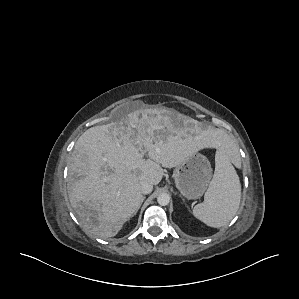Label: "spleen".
Instances as JSON below:
<instances>
[{
    "label": "spleen",
    "mask_w": 299,
    "mask_h": 299,
    "mask_svg": "<svg viewBox=\"0 0 299 299\" xmlns=\"http://www.w3.org/2000/svg\"><path fill=\"white\" fill-rule=\"evenodd\" d=\"M241 199V184L225 147H218L215 171L204 201L193 209V215L207 226L220 228L235 216Z\"/></svg>",
    "instance_id": "3e777b00"
}]
</instances>
